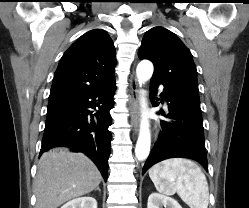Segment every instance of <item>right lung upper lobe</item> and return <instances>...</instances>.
<instances>
[{
    "mask_svg": "<svg viewBox=\"0 0 249 208\" xmlns=\"http://www.w3.org/2000/svg\"><path fill=\"white\" fill-rule=\"evenodd\" d=\"M114 44L102 29L91 30L77 39L62 56L50 90L49 100L100 88L114 78Z\"/></svg>",
    "mask_w": 249,
    "mask_h": 208,
    "instance_id": "obj_1",
    "label": "right lung upper lobe"
}]
</instances>
